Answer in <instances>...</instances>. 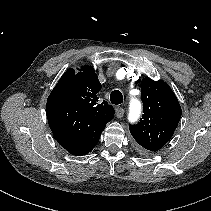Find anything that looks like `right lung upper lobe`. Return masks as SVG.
Returning a JSON list of instances; mask_svg holds the SVG:
<instances>
[{"instance_id":"cb5924a9","label":"right lung upper lobe","mask_w":211,"mask_h":211,"mask_svg":"<svg viewBox=\"0 0 211 211\" xmlns=\"http://www.w3.org/2000/svg\"><path fill=\"white\" fill-rule=\"evenodd\" d=\"M101 89L98 77L91 66L80 72L68 69L60 78L51 96L69 98L76 104L73 130L53 132L56 140L68 148L77 146L82 137L103 130L114 117V108L105 100L99 104L97 93Z\"/></svg>"}]
</instances>
